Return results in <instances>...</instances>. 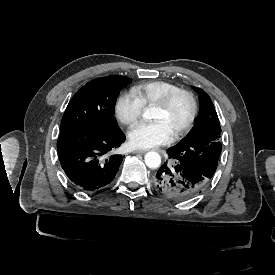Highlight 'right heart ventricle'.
I'll list each match as a JSON object with an SVG mask.
<instances>
[{
	"label": "right heart ventricle",
	"instance_id": "1",
	"mask_svg": "<svg viewBox=\"0 0 275 275\" xmlns=\"http://www.w3.org/2000/svg\"><path fill=\"white\" fill-rule=\"evenodd\" d=\"M176 85L165 80L144 81L133 88V92L144 106H153L169 92L175 90Z\"/></svg>",
	"mask_w": 275,
	"mask_h": 275
}]
</instances>
